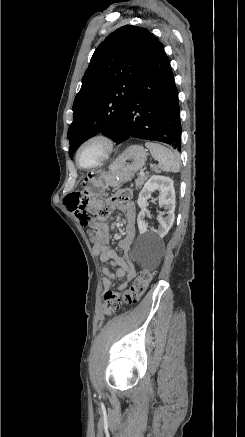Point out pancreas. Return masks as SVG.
Wrapping results in <instances>:
<instances>
[{
    "mask_svg": "<svg viewBox=\"0 0 245 437\" xmlns=\"http://www.w3.org/2000/svg\"><path fill=\"white\" fill-rule=\"evenodd\" d=\"M148 177V174L138 176V178L135 180L136 189H140L145 181L148 179Z\"/></svg>",
    "mask_w": 245,
    "mask_h": 437,
    "instance_id": "cf45deb5",
    "label": "pancreas"
}]
</instances>
